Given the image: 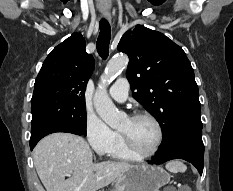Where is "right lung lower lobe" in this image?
Wrapping results in <instances>:
<instances>
[{"instance_id":"98d812e1","label":"right lung lower lobe","mask_w":233,"mask_h":191,"mask_svg":"<svg viewBox=\"0 0 233 191\" xmlns=\"http://www.w3.org/2000/svg\"><path fill=\"white\" fill-rule=\"evenodd\" d=\"M55 132H67V133L81 135V134H78L75 131L70 130V129L65 128V127H45V128H42L36 132L31 133L30 149L33 150V148L35 147L37 142L40 139H42L44 136L51 134V133H55Z\"/></svg>"}]
</instances>
